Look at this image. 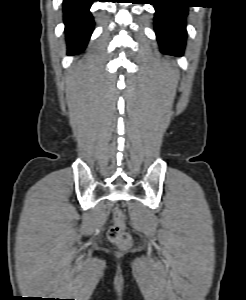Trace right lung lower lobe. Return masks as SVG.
<instances>
[{
  "instance_id": "98d812e1",
  "label": "right lung lower lobe",
  "mask_w": 246,
  "mask_h": 300,
  "mask_svg": "<svg viewBox=\"0 0 246 300\" xmlns=\"http://www.w3.org/2000/svg\"><path fill=\"white\" fill-rule=\"evenodd\" d=\"M97 0H63L68 54L82 52L92 34L94 21L89 8Z\"/></svg>"
}]
</instances>
